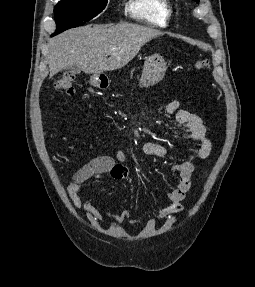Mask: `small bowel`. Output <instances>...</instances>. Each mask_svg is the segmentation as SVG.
I'll return each instance as SVG.
<instances>
[{
	"label": "small bowel",
	"instance_id": "1",
	"mask_svg": "<svg viewBox=\"0 0 255 287\" xmlns=\"http://www.w3.org/2000/svg\"><path fill=\"white\" fill-rule=\"evenodd\" d=\"M166 114H175L176 120L181 128V137L194 143L197 148L179 164L172 167V171L178 177V184L175 189L168 193V204L163 206L156 216L152 217L148 224L155 225L157 219L170 217L183 210L182 201L191 187L192 173L194 171V160L207 158L212 150V144L206 135V128L202 119L186 110L180 109L177 100H170L163 108ZM142 151L145 155L156 157H167L170 155L168 149L161 144L146 142L142 145ZM126 155L124 152H118L115 157L98 156L81 167L73 176L68 185V193L76 208L82 207L86 210L87 216L92 223L104 222L108 220L109 227H116L130 218V213L126 210L112 213L108 210H101L91 202H82L83 184L91 179H101L108 175L115 180H124L128 176L127 168L122 164Z\"/></svg>",
	"mask_w": 255,
	"mask_h": 287
}]
</instances>
